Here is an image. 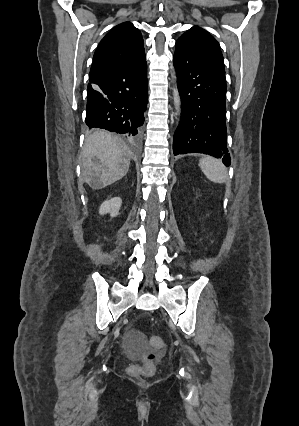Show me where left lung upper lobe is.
I'll return each mask as SVG.
<instances>
[{"instance_id":"left-lung-upper-lobe-1","label":"left lung upper lobe","mask_w":299,"mask_h":426,"mask_svg":"<svg viewBox=\"0 0 299 426\" xmlns=\"http://www.w3.org/2000/svg\"><path fill=\"white\" fill-rule=\"evenodd\" d=\"M176 49L189 59L208 66L221 80H225L224 61L217 40L204 29L194 26L176 42Z\"/></svg>"}]
</instances>
